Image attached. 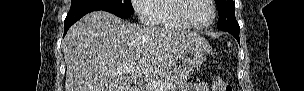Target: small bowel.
Returning <instances> with one entry per match:
<instances>
[{
    "label": "small bowel",
    "instance_id": "obj_1",
    "mask_svg": "<svg viewBox=\"0 0 304 91\" xmlns=\"http://www.w3.org/2000/svg\"><path fill=\"white\" fill-rule=\"evenodd\" d=\"M184 90H186V91H208L209 87H208L207 83L203 82V83L186 86L184 88Z\"/></svg>",
    "mask_w": 304,
    "mask_h": 91
}]
</instances>
